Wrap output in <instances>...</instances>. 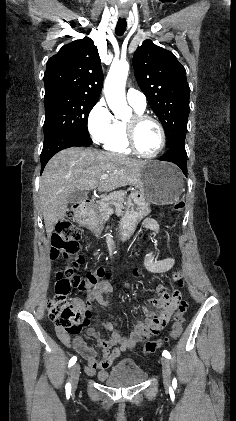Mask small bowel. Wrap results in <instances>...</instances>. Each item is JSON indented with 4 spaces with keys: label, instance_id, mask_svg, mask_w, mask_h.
I'll return each mask as SVG.
<instances>
[{
    "label": "small bowel",
    "instance_id": "1",
    "mask_svg": "<svg viewBox=\"0 0 236 421\" xmlns=\"http://www.w3.org/2000/svg\"><path fill=\"white\" fill-rule=\"evenodd\" d=\"M143 224H144L145 228L153 231L156 235L159 234V224L155 219L147 218V219L144 220ZM146 265L152 271L160 269V266H156L151 257L147 258ZM157 289H158V292L160 294L165 293V288L163 286H158ZM109 291H110V287L108 285H102L100 288L95 289V290L91 291L90 293H88L85 302H82L78 299L74 300V302L78 305H85L90 310L92 309L94 304H99L101 306L108 307V306H110V302L107 301L104 296L107 293H109ZM173 304H176L175 299H174ZM140 325L141 324H139L138 326H140ZM57 334H58L59 338L65 344L70 345L72 343L71 337L69 335H67L66 333H64L60 330H57ZM87 334L89 336H97L96 331L93 330V329H89L87 331ZM102 344H104V343L101 342V345ZM119 354H120V350L115 349V350L112 351V353L110 355L105 354L103 357L100 358V357L97 356L95 351L91 350L90 354L82 355V356L85 357L89 361V366H90L91 371L95 368L101 369V371L99 372V377L103 378L104 375H105L104 370L111 366L114 358H116Z\"/></svg>",
    "mask_w": 236,
    "mask_h": 421
}]
</instances>
